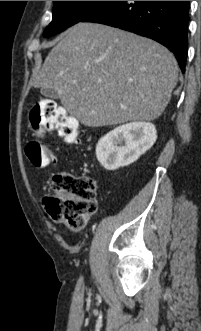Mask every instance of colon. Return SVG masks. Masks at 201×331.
I'll list each match as a JSON object with an SVG mask.
<instances>
[{"label":"colon","mask_w":201,"mask_h":331,"mask_svg":"<svg viewBox=\"0 0 201 331\" xmlns=\"http://www.w3.org/2000/svg\"><path fill=\"white\" fill-rule=\"evenodd\" d=\"M30 122L37 133L56 130L69 143L78 139L77 121L53 100L37 103L30 113ZM25 153L36 167H45L52 161L51 145L39 137L31 138ZM53 194L43 200L50 217L72 230L83 229L97 209L96 182L90 177L57 174L53 177Z\"/></svg>","instance_id":"obj_1"}]
</instances>
